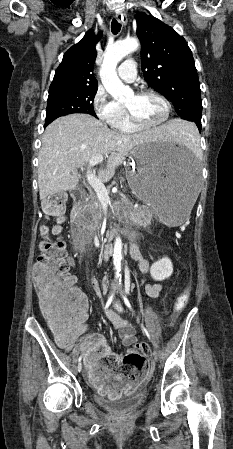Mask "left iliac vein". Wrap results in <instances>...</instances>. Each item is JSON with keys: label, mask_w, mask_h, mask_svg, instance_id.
I'll use <instances>...</instances> for the list:
<instances>
[{"label": "left iliac vein", "mask_w": 233, "mask_h": 449, "mask_svg": "<svg viewBox=\"0 0 233 449\" xmlns=\"http://www.w3.org/2000/svg\"><path fill=\"white\" fill-rule=\"evenodd\" d=\"M116 307H117L120 311L122 310V307H121L120 302H116ZM153 358H154L155 361H157L158 358H159L158 352H157L156 350L153 351Z\"/></svg>", "instance_id": "obj_1"}]
</instances>
